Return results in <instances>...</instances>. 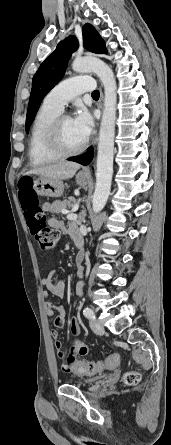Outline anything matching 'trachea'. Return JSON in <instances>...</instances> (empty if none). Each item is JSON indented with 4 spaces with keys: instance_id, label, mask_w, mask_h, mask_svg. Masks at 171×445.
I'll return each mask as SVG.
<instances>
[{
    "instance_id": "obj_1",
    "label": "trachea",
    "mask_w": 171,
    "mask_h": 445,
    "mask_svg": "<svg viewBox=\"0 0 171 445\" xmlns=\"http://www.w3.org/2000/svg\"><path fill=\"white\" fill-rule=\"evenodd\" d=\"M100 93L98 90L92 92V97H99Z\"/></svg>"
}]
</instances>
